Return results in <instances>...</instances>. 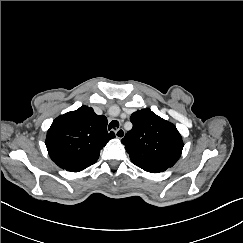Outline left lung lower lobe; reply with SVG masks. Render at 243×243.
<instances>
[{
    "mask_svg": "<svg viewBox=\"0 0 243 243\" xmlns=\"http://www.w3.org/2000/svg\"><path fill=\"white\" fill-rule=\"evenodd\" d=\"M138 167L142 168L145 171L151 172V173H159L163 172L166 169L160 168V167H153V166H146V165H137Z\"/></svg>",
    "mask_w": 243,
    "mask_h": 243,
    "instance_id": "1",
    "label": "left lung lower lobe"
}]
</instances>
